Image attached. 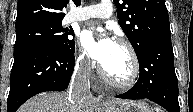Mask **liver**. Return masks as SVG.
Wrapping results in <instances>:
<instances>
[{"label":"liver","mask_w":193,"mask_h":112,"mask_svg":"<svg viewBox=\"0 0 193 112\" xmlns=\"http://www.w3.org/2000/svg\"><path fill=\"white\" fill-rule=\"evenodd\" d=\"M102 109L91 94L84 96L78 103L72 102L67 93L44 92L24 103L18 112H101Z\"/></svg>","instance_id":"6515ba94"}]
</instances>
